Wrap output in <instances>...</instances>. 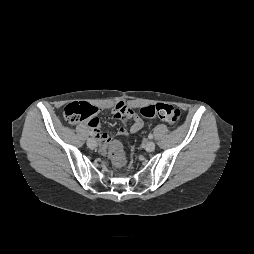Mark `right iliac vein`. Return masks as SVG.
<instances>
[{
	"label": "right iliac vein",
	"mask_w": 254,
	"mask_h": 254,
	"mask_svg": "<svg viewBox=\"0 0 254 254\" xmlns=\"http://www.w3.org/2000/svg\"><path fill=\"white\" fill-rule=\"evenodd\" d=\"M87 146H88L89 148H94V147L96 146V141H95V139H94V138H89V139L87 140Z\"/></svg>",
	"instance_id": "63e3f726"
}]
</instances>
